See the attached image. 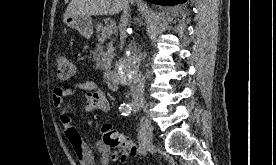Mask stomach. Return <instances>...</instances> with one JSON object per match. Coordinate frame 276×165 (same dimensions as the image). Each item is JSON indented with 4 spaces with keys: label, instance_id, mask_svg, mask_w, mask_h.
<instances>
[{
    "label": "stomach",
    "instance_id": "1",
    "mask_svg": "<svg viewBox=\"0 0 276 165\" xmlns=\"http://www.w3.org/2000/svg\"><path fill=\"white\" fill-rule=\"evenodd\" d=\"M64 23L68 27L77 30L85 38H90L93 33V24L90 16H70L64 20Z\"/></svg>",
    "mask_w": 276,
    "mask_h": 165
}]
</instances>
